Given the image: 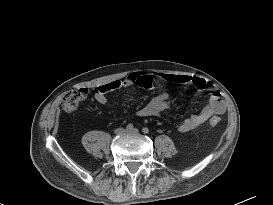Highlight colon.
Instances as JSON below:
<instances>
[{
  "label": "colon",
  "instance_id": "obj_1",
  "mask_svg": "<svg viewBox=\"0 0 273 205\" xmlns=\"http://www.w3.org/2000/svg\"><path fill=\"white\" fill-rule=\"evenodd\" d=\"M88 92L86 89L77 88L67 91L61 98V106L66 112H73L77 110L87 99ZM220 119L218 117H212L210 124L213 127L218 126Z\"/></svg>",
  "mask_w": 273,
  "mask_h": 205
}]
</instances>
